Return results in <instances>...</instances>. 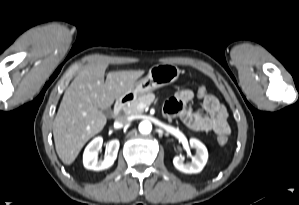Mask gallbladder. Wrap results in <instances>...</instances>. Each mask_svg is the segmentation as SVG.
Segmentation results:
<instances>
[{"mask_svg":"<svg viewBox=\"0 0 299 205\" xmlns=\"http://www.w3.org/2000/svg\"><path fill=\"white\" fill-rule=\"evenodd\" d=\"M106 116H110L112 114V110L110 108L101 110Z\"/></svg>","mask_w":299,"mask_h":205,"instance_id":"1","label":"gallbladder"}]
</instances>
